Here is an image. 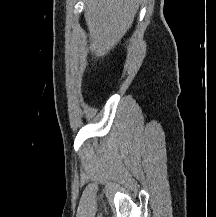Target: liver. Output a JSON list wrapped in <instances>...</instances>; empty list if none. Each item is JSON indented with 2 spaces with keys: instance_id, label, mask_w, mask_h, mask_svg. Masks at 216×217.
<instances>
[{
  "instance_id": "6515ba94",
  "label": "liver",
  "mask_w": 216,
  "mask_h": 217,
  "mask_svg": "<svg viewBox=\"0 0 216 217\" xmlns=\"http://www.w3.org/2000/svg\"><path fill=\"white\" fill-rule=\"evenodd\" d=\"M140 0H86L85 20L90 50L103 57L115 47L131 27Z\"/></svg>"
}]
</instances>
